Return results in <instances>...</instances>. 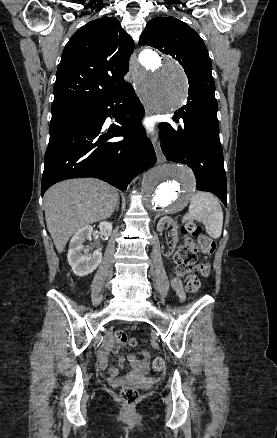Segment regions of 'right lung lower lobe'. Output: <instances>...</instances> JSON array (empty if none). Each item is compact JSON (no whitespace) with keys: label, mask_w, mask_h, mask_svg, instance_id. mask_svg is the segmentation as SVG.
<instances>
[{"label":"right lung lower lobe","mask_w":277,"mask_h":438,"mask_svg":"<svg viewBox=\"0 0 277 438\" xmlns=\"http://www.w3.org/2000/svg\"><path fill=\"white\" fill-rule=\"evenodd\" d=\"M72 66L78 67V63ZM117 114L123 127L104 124ZM144 108L130 83L90 103L86 111L50 132L41 194L71 178L95 177L125 191L130 181L156 163L153 146L139 119ZM124 136L121 141L110 140Z\"/></svg>","instance_id":"98d812e1"}]
</instances>
